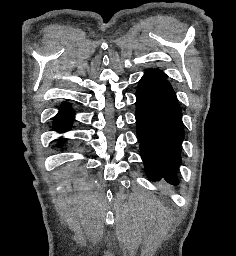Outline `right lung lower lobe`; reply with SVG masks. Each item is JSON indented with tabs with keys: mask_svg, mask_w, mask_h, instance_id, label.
Segmentation results:
<instances>
[{
	"mask_svg": "<svg viewBox=\"0 0 236 256\" xmlns=\"http://www.w3.org/2000/svg\"><path fill=\"white\" fill-rule=\"evenodd\" d=\"M74 112L69 104L64 103L60 107V112L54 119V128L56 131L62 132L70 130L71 124L73 122Z\"/></svg>",
	"mask_w": 236,
	"mask_h": 256,
	"instance_id": "1",
	"label": "right lung lower lobe"
}]
</instances>
